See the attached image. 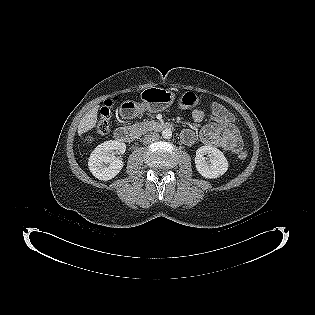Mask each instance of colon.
Instances as JSON below:
<instances>
[{
	"label": "colon",
	"mask_w": 315,
	"mask_h": 315,
	"mask_svg": "<svg viewBox=\"0 0 315 315\" xmlns=\"http://www.w3.org/2000/svg\"><path fill=\"white\" fill-rule=\"evenodd\" d=\"M198 103L199 98L193 92H187L183 94L178 100V106L181 108H191L196 106ZM113 104L114 102L112 100H108L104 103L103 107L101 108L99 120L95 130L96 135H105L106 133H108L110 129ZM91 139L92 137H89V140ZM237 154L243 161L248 160L250 157L249 152L246 150H239Z\"/></svg>",
	"instance_id": "5ec220e1"
}]
</instances>
